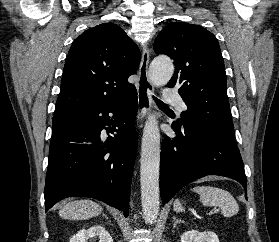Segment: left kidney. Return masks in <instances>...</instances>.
Segmentation results:
<instances>
[{
    "label": "left kidney",
    "instance_id": "left-kidney-1",
    "mask_svg": "<svg viewBox=\"0 0 279 242\" xmlns=\"http://www.w3.org/2000/svg\"><path fill=\"white\" fill-rule=\"evenodd\" d=\"M181 242H219L217 235L212 231H186L181 235Z\"/></svg>",
    "mask_w": 279,
    "mask_h": 242
}]
</instances>
